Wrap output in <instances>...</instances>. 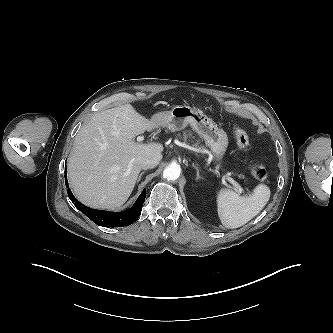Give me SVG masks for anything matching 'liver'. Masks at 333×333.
I'll list each match as a JSON object with an SVG mask.
<instances>
[{"label": "liver", "instance_id": "obj_1", "mask_svg": "<svg viewBox=\"0 0 333 333\" xmlns=\"http://www.w3.org/2000/svg\"><path fill=\"white\" fill-rule=\"evenodd\" d=\"M160 128L129 105L92 115L75 137L67 165L74 194L87 206L116 209L131 195L141 160L161 154L160 143L140 144L135 137Z\"/></svg>", "mask_w": 333, "mask_h": 333}]
</instances>
